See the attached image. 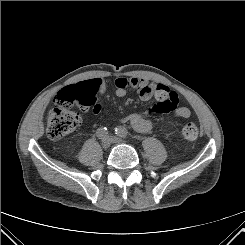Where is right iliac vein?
<instances>
[{
    "label": "right iliac vein",
    "instance_id": "1",
    "mask_svg": "<svg viewBox=\"0 0 245 245\" xmlns=\"http://www.w3.org/2000/svg\"><path fill=\"white\" fill-rule=\"evenodd\" d=\"M110 144H111V141L109 140L108 137L104 138V139L102 140V143H101L102 148L105 149V150L108 149V148L110 147Z\"/></svg>",
    "mask_w": 245,
    "mask_h": 245
}]
</instances>
